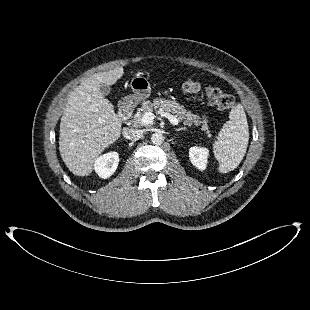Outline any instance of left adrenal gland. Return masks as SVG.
Instances as JSON below:
<instances>
[{
  "instance_id": "obj_1",
  "label": "left adrenal gland",
  "mask_w": 310,
  "mask_h": 310,
  "mask_svg": "<svg viewBox=\"0 0 310 310\" xmlns=\"http://www.w3.org/2000/svg\"><path fill=\"white\" fill-rule=\"evenodd\" d=\"M182 130H187V128L186 127H181V128L175 129V131H177V132L182 131Z\"/></svg>"
}]
</instances>
